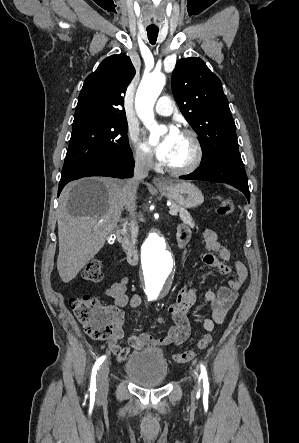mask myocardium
Wrapping results in <instances>:
<instances>
[{
	"mask_svg": "<svg viewBox=\"0 0 299 443\" xmlns=\"http://www.w3.org/2000/svg\"><path fill=\"white\" fill-rule=\"evenodd\" d=\"M180 134L185 135L191 141V144L193 147V156L188 164L181 166V167H172V166L163 164V168L167 172L175 174V175L189 174V173L193 172L194 170H196L199 167V165L201 164V162L203 160V155H204L200 139L194 130L185 128L180 131Z\"/></svg>",
	"mask_w": 299,
	"mask_h": 443,
	"instance_id": "1",
	"label": "myocardium"
}]
</instances>
